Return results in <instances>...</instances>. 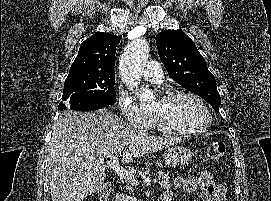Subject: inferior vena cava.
<instances>
[{
  "instance_id": "inferior-vena-cava-1",
  "label": "inferior vena cava",
  "mask_w": 271,
  "mask_h": 201,
  "mask_svg": "<svg viewBox=\"0 0 271 201\" xmlns=\"http://www.w3.org/2000/svg\"><path fill=\"white\" fill-rule=\"evenodd\" d=\"M115 201H128V197L123 194H117L115 197Z\"/></svg>"
}]
</instances>
